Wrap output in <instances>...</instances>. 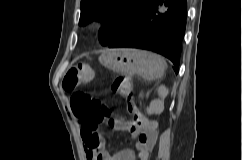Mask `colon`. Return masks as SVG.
Segmentation results:
<instances>
[{
  "label": "colon",
  "mask_w": 242,
  "mask_h": 160,
  "mask_svg": "<svg viewBox=\"0 0 242 160\" xmlns=\"http://www.w3.org/2000/svg\"><path fill=\"white\" fill-rule=\"evenodd\" d=\"M92 78L93 72L87 64H77L68 70L62 81L63 89L66 92L73 93L70 101L72 112L80 119L82 126L89 131V133H86L89 146H93L97 140L98 125L109 115V109L100 100L77 91L79 86L88 83ZM111 90L128 100V112L132 117L136 113H141L136 105L129 101L132 93L130 77H117L111 84Z\"/></svg>",
  "instance_id": "obj_1"
}]
</instances>
